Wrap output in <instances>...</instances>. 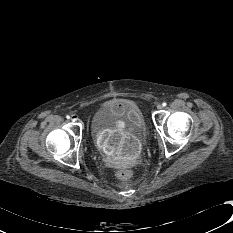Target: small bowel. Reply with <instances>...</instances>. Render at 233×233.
I'll return each mask as SVG.
<instances>
[{
	"label": "small bowel",
	"instance_id": "obj_1",
	"mask_svg": "<svg viewBox=\"0 0 233 233\" xmlns=\"http://www.w3.org/2000/svg\"><path fill=\"white\" fill-rule=\"evenodd\" d=\"M123 101L115 102L121 108ZM99 142L105 153L119 162H127L138 158L142 152V143L131 131L109 130L99 136Z\"/></svg>",
	"mask_w": 233,
	"mask_h": 233
}]
</instances>
